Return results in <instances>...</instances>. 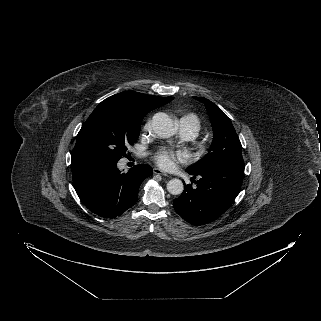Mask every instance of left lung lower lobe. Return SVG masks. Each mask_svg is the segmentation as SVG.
I'll return each mask as SVG.
<instances>
[{
	"label": "left lung lower lobe",
	"mask_w": 321,
	"mask_h": 321,
	"mask_svg": "<svg viewBox=\"0 0 321 321\" xmlns=\"http://www.w3.org/2000/svg\"><path fill=\"white\" fill-rule=\"evenodd\" d=\"M244 164H224L212 167L197 174V187L184 185L180 197L174 199L176 212L193 225H204L219 218L239 194ZM195 178V177H193Z\"/></svg>",
	"instance_id": "obj_1"
}]
</instances>
